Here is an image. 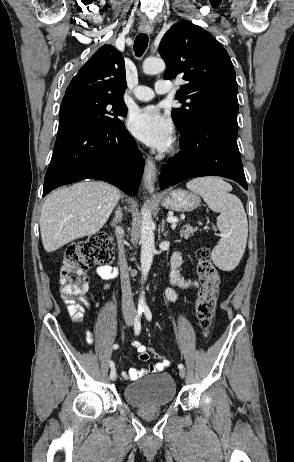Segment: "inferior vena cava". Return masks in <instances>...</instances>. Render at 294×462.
I'll list each match as a JSON object with an SVG mask.
<instances>
[{
  "label": "inferior vena cava",
  "instance_id": "1",
  "mask_svg": "<svg viewBox=\"0 0 294 462\" xmlns=\"http://www.w3.org/2000/svg\"><path fill=\"white\" fill-rule=\"evenodd\" d=\"M120 271H121V288H122V312L124 315H133L136 312L127 265L124 257L120 259Z\"/></svg>",
  "mask_w": 294,
  "mask_h": 462
}]
</instances>
